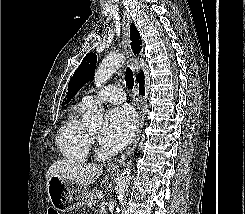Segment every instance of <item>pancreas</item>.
<instances>
[{
  "label": "pancreas",
  "instance_id": "obj_1",
  "mask_svg": "<svg viewBox=\"0 0 245 214\" xmlns=\"http://www.w3.org/2000/svg\"><path fill=\"white\" fill-rule=\"evenodd\" d=\"M101 191L97 190L96 188H94L93 190L90 191L89 195H88V201H87V205L89 207H93L94 204L97 201V195L100 194Z\"/></svg>",
  "mask_w": 245,
  "mask_h": 214
}]
</instances>
